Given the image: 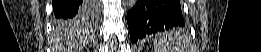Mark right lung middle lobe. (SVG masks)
Wrapping results in <instances>:
<instances>
[{"label": "right lung middle lobe", "instance_id": "dd1d6c3e", "mask_svg": "<svg viewBox=\"0 0 261 52\" xmlns=\"http://www.w3.org/2000/svg\"><path fill=\"white\" fill-rule=\"evenodd\" d=\"M88 4L90 7H92L95 11V9L98 7V2L97 1H88ZM85 18V12L80 13L78 16H76L74 19H57L56 20V24L58 26H70L71 23L73 22H78V21H82ZM90 21L92 22L91 18L89 17V23Z\"/></svg>", "mask_w": 261, "mask_h": 52}]
</instances>
